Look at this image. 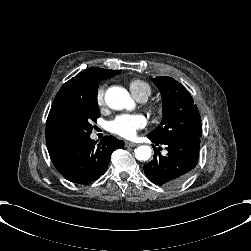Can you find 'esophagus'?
Wrapping results in <instances>:
<instances>
[{
	"label": "esophagus",
	"mask_w": 251,
	"mask_h": 251,
	"mask_svg": "<svg viewBox=\"0 0 251 251\" xmlns=\"http://www.w3.org/2000/svg\"><path fill=\"white\" fill-rule=\"evenodd\" d=\"M138 144L133 143V142H125L126 147H136Z\"/></svg>",
	"instance_id": "1"
}]
</instances>
